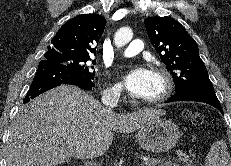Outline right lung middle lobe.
<instances>
[{
	"label": "right lung middle lobe",
	"mask_w": 231,
	"mask_h": 166,
	"mask_svg": "<svg viewBox=\"0 0 231 166\" xmlns=\"http://www.w3.org/2000/svg\"><path fill=\"white\" fill-rule=\"evenodd\" d=\"M45 58L48 61L67 66L89 78H94L95 71L92 70L94 66H90L89 62L91 61L94 65L96 61L92 60L91 57L45 56Z\"/></svg>",
	"instance_id": "1"
}]
</instances>
